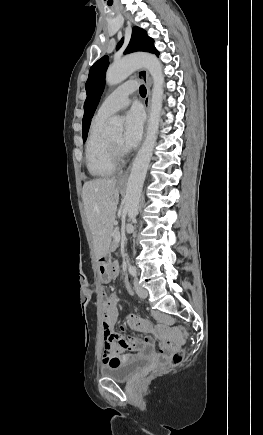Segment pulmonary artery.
Masks as SVG:
<instances>
[{"label": "pulmonary artery", "instance_id": "e3ab8cb5", "mask_svg": "<svg viewBox=\"0 0 263 435\" xmlns=\"http://www.w3.org/2000/svg\"><path fill=\"white\" fill-rule=\"evenodd\" d=\"M135 90L136 84L134 82H127L120 85L104 99L96 115L102 118H108L112 114L124 109L130 102V94Z\"/></svg>", "mask_w": 263, "mask_h": 435}]
</instances>
